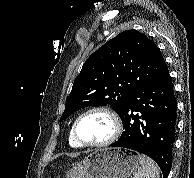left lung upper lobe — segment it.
<instances>
[{"label":"left lung upper lobe","mask_w":194,"mask_h":178,"mask_svg":"<svg viewBox=\"0 0 194 178\" xmlns=\"http://www.w3.org/2000/svg\"><path fill=\"white\" fill-rule=\"evenodd\" d=\"M165 67L159 48L146 35L134 29L118 34L85 61L60 122L86 106L109 104L118 112L130 94Z\"/></svg>","instance_id":"obj_1"}]
</instances>
